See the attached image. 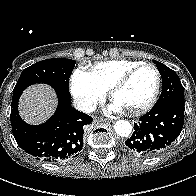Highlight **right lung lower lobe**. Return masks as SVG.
Masks as SVG:
<instances>
[{"instance_id":"98d812e1","label":"right lung lower lobe","mask_w":196,"mask_h":196,"mask_svg":"<svg viewBox=\"0 0 196 196\" xmlns=\"http://www.w3.org/2000/svg\"><path fill=\"white\" fill-rule=\"evenodd\" d=\"M58 107L54 115L41 125H30L18 114L22 92L13 95L11 125L17 144L28 154L47 162H60L78 155L83 147L84 127L93 118L71 106V96L56 91Z\"/></svg>"}]
</instances>
